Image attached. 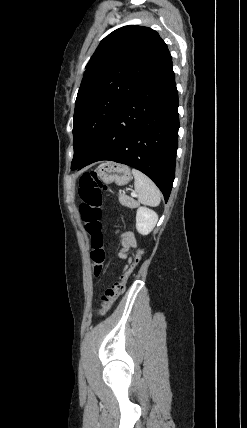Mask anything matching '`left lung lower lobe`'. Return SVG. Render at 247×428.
<instances>
[{
	"label": "left lung lower lobe",
	"mask_w": 247,
	"mask_h": 428,
	"mask_svg": "<svg viewBox=\"0 0 247 428\" xmlns=\"http://www.w3.org/2000/svg\"><path fill=\"white\" fill-rule=\"evenodd\" d=\"M178 92L172 59L116 109L81 169L99 160H112L146 174L167 202L175 176L178 147Z\"/></svg>",
	"instance_id": "obj_1"
}]
</instances>
